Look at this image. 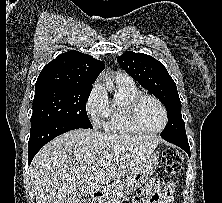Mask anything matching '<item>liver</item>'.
I'll list each match as a JSON object with an SVG mask.
<instances>
[{"mask_svg":"<svg viewBox=\"0 0 222 203\" xmlns=\"http://www.w3.org/2000/svg\"><path fill=\"white\" fill-rule=\"evenodd\" d=\"M159 142L90 129L66 132L46 144L30 166L36 203H81L88 194L109 190L111 180L122 182Z\"/></svg>","mask_w":222,"mask_h":203,"instance_id":"1","label":"liver"}]
</instances>
